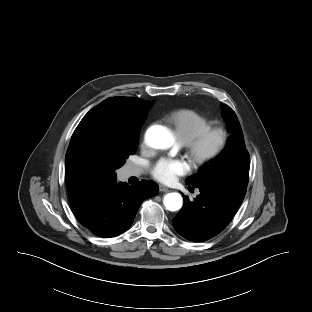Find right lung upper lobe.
Here are the masks:
<instances>
[{
  "instance_id": "cb5924a9",
  "label": "right lung upper lobe",
  "mask_w": 312,
  "mask_h": 312,
  "mask_svg": "<svg viewBox=\"0 0 312 312\" xmlns=\"http://www.w3.org/2000/svg\"><path fill=\"white\" fill-rule=\"evenodd\" d=\"M151 105L152 102L140 98L110 97L92 108L78 126L98 118H107L117 122H133L148 114L147 110ZM66 181L73 211L82 208L87 201L111 183L76 179L71 176L67 168Z\"/></svg>"
}]
</instances>
